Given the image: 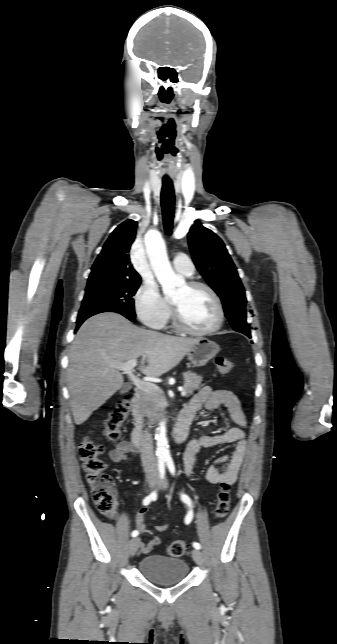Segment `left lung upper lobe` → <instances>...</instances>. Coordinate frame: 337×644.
Wrapping results in <instances>:
<instances>
[{
	"label": "left lung upper lobe",
	"mask_w": 337,
	"mask_h": 644,
	"mask_svg": "<svg viewBox=\"0 0 337 644\" xmlns=\"http://www.w3.org/2000/svg\"><path fill=\"white\" fill-rule=\"evenodd\" d=\"M188 244L198 271L221 298L232 328L250 338L245 290L223 241L196 221L188 233Z\"/></svg>",
	"instance_id": "1"
}]
</instances>
